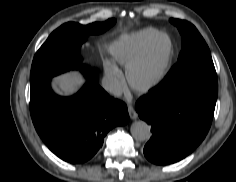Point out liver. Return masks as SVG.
Listing matches in <instances>:
<instances>
[{
    "label": "liver",
    "mask_w": 236,
    "mask_h": 182,
    "mask_svg": "<svg viewBox=\"0 0 236 182\" xmlns=\"http://www.w3.org/2000/svg\"><path fill=\"white\" fill-rule=\"evenodd\" d=\"M56 81L59 92L64 95L75 93L84 83V79L77 72L63 74L57 77Z\"/></svg>",
    "instance_id": "6515ba94"
}]
</instances>
